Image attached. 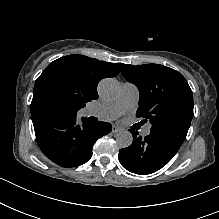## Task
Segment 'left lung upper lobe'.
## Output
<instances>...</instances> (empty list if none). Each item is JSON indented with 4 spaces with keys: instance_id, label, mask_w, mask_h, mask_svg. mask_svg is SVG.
<instances>
[{
    "instance_id": "obj_1",
    "label": "left lung upper lobe",
    "mask_w": 219,
    "mask_h": 219,
    "mask_svg": "<svg viewBox=\"0 0 219 219\" xmlns=\"http://www.w3.org/2000/svg\"><path fill=\"white\" fill-rule=\"evenodd\" d=\"M122 74L139 90L136 116L149 120L152 133L181 146L193 118V95L186 79L160 64H125Z\"/></svg>"
}]
</instances>
